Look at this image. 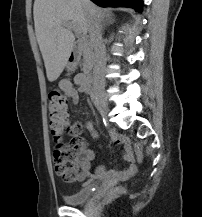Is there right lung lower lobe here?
<instances>
[{
  "instance_id": "1",
  "label": "right lung lower lobe",
  "mask_w": 202,
  "mask_h": 217,
  "mask_svg": "<svg viewBox=\"0 0 202 217\" xmlns=\"http://www.w3.org/2000/svg\"><path fill=\"white\" fill-rule=\"evenodd\" d=\"M102 7H128L133 8L136 12L142 9V0H91Z\"/></svg>"
}]
</instances>
